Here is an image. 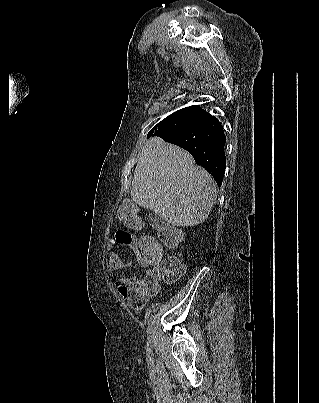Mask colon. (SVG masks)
<instances>
[{"label": "colon", "instance_id": "obj_1", "mask_svg": "<svg viewBox=\"0 0 319 403\" xmlns=\"http://www.w3.org/2000/svg\"><path fill=\"white\" fill-rule=\"evenodd\" d=\"M124 206L120 210V218L125 225L138 227L141 216L138 208L130 197L123 199ZM150 223L158 230L159 234H142L138 237L139 247L134 252H142L143 255L155 262L153 270L147 272L145 279L150 295L158 290L161 281L173 282L185 273V266L176 257L163 259L164 247H174L182 239L181 231L166 225L156 216L150 218Z\"/></svg>", "mask_w": 319, "mask_h": 403}]
</instances>
